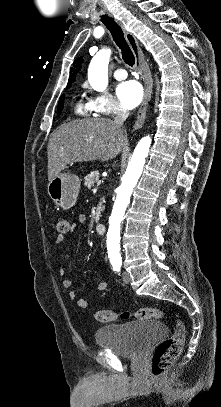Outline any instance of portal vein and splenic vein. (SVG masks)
<instances>
[{
    "mask_svg": "<svg viewBox=\"0 0 221 407\" xmlns=\"http://www.w3.org/2000/svg\"><path fill=\"white\" fill-rule=\"evenodd\" d=\"M101 184V181L100 180H98L97 181V186H99Z\"/></svg>",
    "mask_w": 221,
    "mask_h": 407,
    "instance_id": "18ae733b",
    "label": "portal vein and splenic vein"
}]
</instances>
